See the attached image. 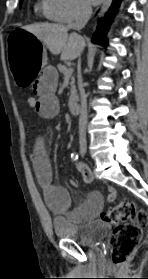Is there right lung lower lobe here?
Listing matches in <instances>:
<instances>
[{
	"mask_svg": "<svg viewBox=\"0 0 148 279\" xmlns=\"http://www.w3.org/2000/svg\"><path fill=\"white\" fill-rule=\"evenodd\" d=\"M121 0H113L104 18L98 21L97 31L93 35V40L97 43L105 44L108 24L114 18Z\"/></svg>",
	"mask_w": 148,
	"mask_h": 279,
	"instance_id": "1",
	"label": "right lung lower lobe"
}]
</instances>
